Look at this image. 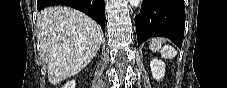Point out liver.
Listing matches in <instances>:
<instances>
[{
	"label": "liver",
	"instance_id": "1",
	"mask_svg": "<svg viewBox=\"0 0 227 88\" xmlns=\"http://www.w3.org/2000/svg\"><path fill=\"white\" fill-rule=\"evenodd\" d=\"M37 27L40 51L53 85L85 68L97 54L103 38L94 20L66 6L41 10Z\"/></svg>",
	"mask_w": 227,
	"mask_h": 88
}]
</instances>
